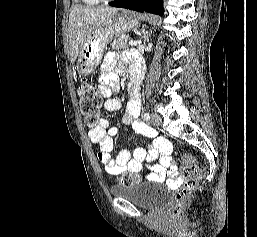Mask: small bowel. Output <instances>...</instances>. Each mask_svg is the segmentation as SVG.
<instances>
[{
    "mask_svg": "<svg viewBox=\"0 0 257 237\" xmlns=\"http://www.w3.org/2000/svg\"><path fill=\"white\" fill-rule=\"evenodd\" d=\"M131 75L137 69L141 75V64L135 58H130ZM127 62H120L116 52L106 54L99 74L100 90L106 98L104 107L109 112L121 109L119 100L111 98V93L119 88L117 75L125 71ZM140 115V99L138 95L130 98L123 115L122 122L130 127L131 131L141 133L152 141L151 146L139 147L134 150L133 158L129 151L122 150L114 158L112 157L113 136L118 128H109V122L101 119L97 125L88 131L91 142L99 145L97 157L104 165L105 170L112 175L123 172L137 173L142 170L145 162L150 163L148 179L152 181L168 180L171 185H177L181 177L176 172L172 163L171 144L163 137L157 136L156 132L138 120ZM156 161V162H154Z\"/></svg>",
    "mask_w": 257,
    "mask_h": 237,
    "instance_id": "1",
    "label": "small bowel"
}]
</instances>
